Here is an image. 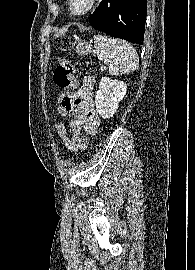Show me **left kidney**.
Segmentation results:
<instances>
[{
  "label": "left kidney",
  "instance_id": "1",
  "mask_svg": "<svg viewBox=\"0 0 195 270\" xmlns=\"http://www.w3.org/2000/svg\"><path fill=\"white\" fill-rule=\"evenodd\" d=\"M127 92V85L123 81L102 77L99 83V90L95 95V104L98 114L103 118L112 117L120 101Z\"/></svg>",
  "mask_w": 195,
  "mask_h": 270
}]
</instances>
